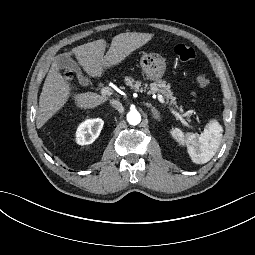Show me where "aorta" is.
<instances>
[{
	"label": "aorta",
	"mask_w": 255,
	"mask_h": 255,
	"mask_svg": "<svg viewBox=\"0 0 255 255\" xmlns=\"http://www.w3.org/2000/svg\"><path fill=\"white\" fill-rule=\"evenodd\" d=\"M127 121L129 122V124L131 125H137L140 123L141 121V115L138 111H130L127 114Z\"/></svg>",
	"instance_id": "obj_1"
}]
</instances>
